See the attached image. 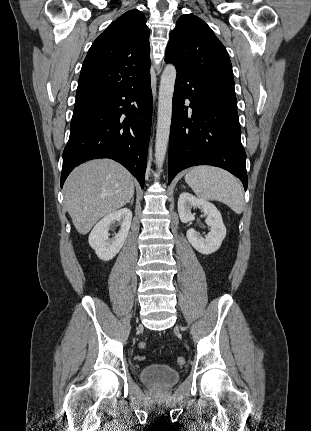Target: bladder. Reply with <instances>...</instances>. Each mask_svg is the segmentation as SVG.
<instances>
[{"mask_svg": "<svg viewBox=\"0 0 311 431\" xmlns=\"http://www.w3.org/2000/svg\"><path fill=\"white\" fill-rule=\"evenodd\" d=\"M139 379L148 387L166 389L178 383L180 372L169 365L155 363L142 368Z\"/></svg>", "mask_w": 311, "mask_h": 431, "instance_id": "bladder-1", "label": "bladder"}]
</instances>
